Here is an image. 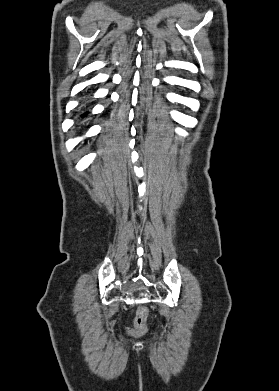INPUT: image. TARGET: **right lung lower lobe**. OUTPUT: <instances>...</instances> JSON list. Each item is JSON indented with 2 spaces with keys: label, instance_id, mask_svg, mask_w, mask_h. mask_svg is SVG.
<instances>
[{
  "label": "right lung lower lobe",
  "instance_id": "obj_1",
  "mask_svg": "<svg viewBox=\"0 0 279 391\" xmlns=\"http://www.w3.org/2000/svg\"><path fill=\"white\" fill-rule=\"evenodd\" d=\"M87 113H85L84 115H82V117H84Z\"/></svg>",
  "mask_w": 279,
  "mask_h": 391
}]
</instances>
